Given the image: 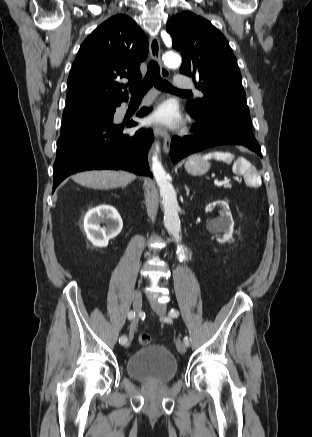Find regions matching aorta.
I'll return each instance as SVG.
<instances>
[{
  "label": "aorta",
  "mask_w": 312,
  "mask_h": 437,
  "mask_svg": "<svg viewBox=\"0 0 312 437\" xmlns=\"http://www.w3.org/2000/svg\"><path fill=\"white\" fill-rule=\"evenodd\" d=\"M164 63L170 68L178 67L181 63V58L175 53H167L164 56ZM157 152L159 147L156 146ZM152 172L156 183L160 190V196L162 198V206L164 210V226L168 233L176 240H181V225L178 215L179 205L177 202L176 192L174 187L168 180L167 173L165 172L161 162L158 159L155 152L152 157ZM187 252L181 246L178 249V255L180 258H185Z\"/></svg>",
  "instance_id": "aorta-1"
}]
</instances>
